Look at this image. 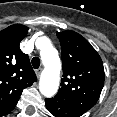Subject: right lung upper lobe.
<instances>
[{"mask_svg": "<svg viewBox=\"0 0 117 117\" xmlns=\"http://www.w3.org/2000/svg\"><path fill=\"white\" fill-rule=\"evenodd\" d=\"M27 33L28 27L22 24L0 31V117L10 113L23 89L37 80L28 55L19 47Z\"/></svg>", "mask_w": 117, "mask_h": 117, "instance_id": "obj_1", "label": "right lung upper lobe"}]
</instances>
